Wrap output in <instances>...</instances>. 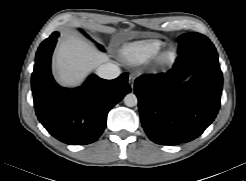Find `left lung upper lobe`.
Instances as JSON below:
<instances>
[{
    "mask_svg": "<svg viewBox=\"0 0 246 181\" xmlns=\"http://www.w3.org/2000/svg\"><path fill=\"white\" fill-rule=\"evenodd\" d=\"M177 41L179 43V51H186L211 42L206 36L195 32L183 34Z\"/></svg>",
    "mask_w": 246,
    "mask_h": 181,
    "instance_id": "obj_1",
    "label": "left lung upper lobe"
}]
</instances>
